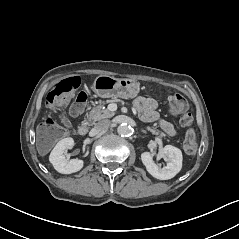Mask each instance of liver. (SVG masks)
I'll return each mask as SVG.
<instances>
[{
    "mask_svg": "<svg viewBox=\"0 0 239 239\" xmlns=\"http://www.w3.org/2000/svg\"><path fill=\"white\" fill-rule=\"evenodd\" d=\"M38 131H39V128L36 129V135L38 136Z\"/></svg>",
    "mask_w": 239,
    "mask_h": 239,
    "instance_id": "6515ba94",
    "label": "liver"
}]
</instances>
